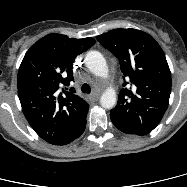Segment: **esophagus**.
<instances>
[{
  "instance_id": "esophagus-1",
  "label": "esophagus",
  "mask_w": 187,
  "mask_h": 187,
  "mask_svg": "<svg viewBox=\"0 0 187 187\" xmlns=\"http://www.w3.org/2000/svg\"><path fill=\"white\" fill-rule=\"evenodd\" d=\"M100 97V94L98 93H92L91 95H89V100L94 102V101H97Z\"/></svg>"
}]
</instances>
